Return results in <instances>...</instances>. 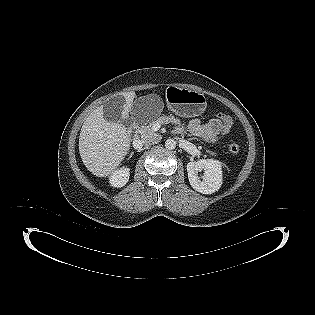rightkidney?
Returning a JSON list of instances; mask_svg holds the SVG:
<instances>
[{"label": "right kidney", "instance_id": "ca27d5eb", "mask_svg": "<svg viewBox=\"0 0 315 315\" xmlns=\"http://www.w3.org/2000/svg\"><path fill=\"white\" fill-rule=\"evenodd\" d=\"M129 180V169L123 168L115 171L110 177V184L113 187H123Z\"/></svg>", "mask_w": 315, "mask_h": 315}]
</instances>
